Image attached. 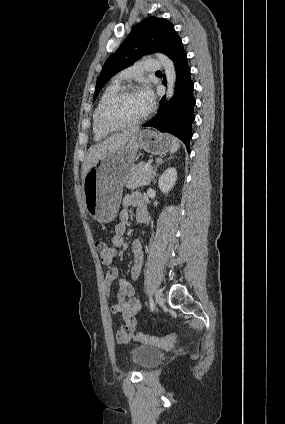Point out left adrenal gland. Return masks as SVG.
Returning <instances> with one entry per match:
<instances>
[{"instance_id":"1","label":"left adrenal gland","mask_w":285,"mask_h":424,"mask_svg":"<svg viewBox=\"0 0 285 424\" xmlns=\"http://www.w3.org/2000/svg\"><path fill=\"white\" fill-rule=\"evenodd\" d=\"M165 161H163L162 160V158L161 157H158L157 159H156V166L154 167V169H153V172H152V181H154V179H155V176H156V171H157V168L161 165V164H163Z\"/></svg>"}]
</instances>
